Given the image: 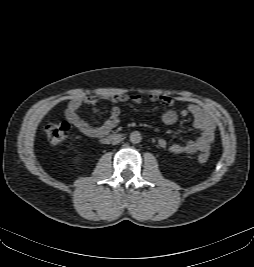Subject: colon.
<instances>
[{
	"label": "colon",
	"instance_id": "5ec220e1",
	"mask_svg": "<svg viewBox=\"0 0 254 267\" xmlns=\"http://www.w3.org/2000/svg\"><path fill=\"white\" fill-rule=\"evenodd\" d=\"M71 134L70 125L67 122L50 123L46 126V135L48 140L53 144L64 143ZM209 153L203 152L198 155L197 160L199 163H205L209 160Z\"/></svg>",
	"mask_w": 254,
	"mask_h": 267
}]
</instances>
